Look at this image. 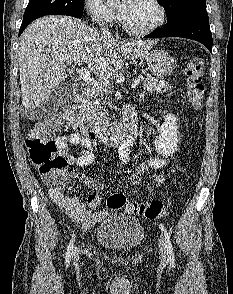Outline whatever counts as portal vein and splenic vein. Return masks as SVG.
I'll use <instances>...</instances> for the list:
<instances>
[{"label":"portal vein and splenic vein","mask_w":233,"mask_h":294,"mask_svg":"<svg viewBox=\"0 0 233 294\" xmlns=\"http://www.w3.org/2000/svg\"><path fill=\"white\" fill-rule=\"evenodd\" d=\"M77 73L79 74L80 78L83 79L85 82L90 83L93 85L95 89L98 91L104 90V86L98 83L90 74V72L85 68L81 67L80 69L77 70ZM144 79L143 76H138L135 80L134 83L132 84V88L134 89L140 81Z\"/></svg>","instance_id":"18ae733b"}]
</instances>
